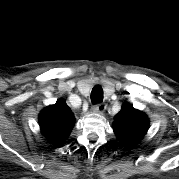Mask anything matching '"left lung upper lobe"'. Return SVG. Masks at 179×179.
<instances>
[{
    "mask_svg": "<svg viewBox=\"0 0 179 179\" xmlns=\"http://www.w3.org/2000/svg\"><path fill=\"white\" fill-rule=\"evenodd\" d=\"M148 127L147 116L127 102L122 105L121 111L115 116L113 122L115 135L121 142L128 145L140 140L147 133Z\"/></svg>",
    "mask_w": 179,
    "mask_h": 179,
    "instance_id": "left-lung-upper-lobe-1",
    "label": "left lung upper lobe"
}]
</instances>
